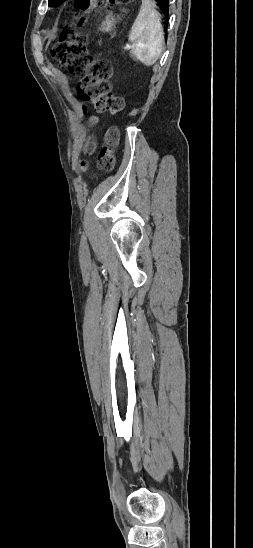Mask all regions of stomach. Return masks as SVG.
I'll return each mask as SVG.
<instances>
[{
    "label": "stomach",
    "instance_id": "obj_1",
    "mask_svg": "<svg viewBox=\"0 0 253 548\" xmlns=\"http://www.w3.org/2000/svg\"><path fill=\"white\" fill-rule=\"evenodd\" d=\"M116 19L113 17L112 13L106 16L105 20L102 22L100 30L103 32H110L115 27Z\"/></svg>",
    "mask_w": 253,
    "mask_h": 548
}]
</instances>
